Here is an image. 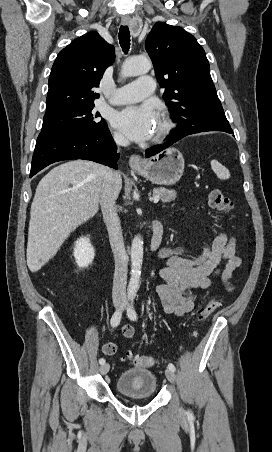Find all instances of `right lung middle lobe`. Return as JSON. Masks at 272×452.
Listing matches in <instances>:
<instances>
[{
  "label": "right lung middle lobe",
  "mask_w": 272,
  "mask_h": 452,
  "mask_svg": "<svg viewBox=\"0 0 272 452\" xmlns=\"http://www.w3.org/2000/svg\"><path fill=\"white\" fill-rule=\"evenodd\" d=\"M94 104L44 115L41 132L55 130L94 131L107 126L100 114L94 113Z\"/></svg>",
  "instance_id": "right-lung-middle-lobe-1"
}]
</instances>
